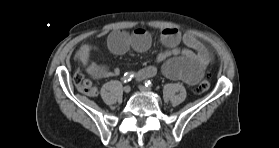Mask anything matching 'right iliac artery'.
<instances>
[{"mask_svg": "<svg viewBox=\"0 0 279 148\" xmlns=\"http://www.w3.org/2000/svg\"><path fill=\"white\" fill-rule=\"evenodd\" d=\"M134 77V74L132 72H126L124 74V77H123V82L124 83H127L129 81H131V79Z\"/></svg>", "mask_w": 279, "mask_h": 148, "instance_id": "1", "label": "right iliac artery"}]
</instances>
